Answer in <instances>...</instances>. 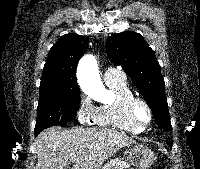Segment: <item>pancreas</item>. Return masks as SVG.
<instances>
[{
	"label": "pancreas",
	"instance_id": "obj_1",
	"mask_svg": "<svg viewBox=\"0 0 200 169\" xmlns=\"http://www.w3.org/2000/svg\"><path fill=\"white\" fill-rule=\"evenodd\" d=\"M129 164L121 159H112L108 161L101 169H128Z\"/></svg>",
	"mask_w": 200,
	"mask_h": 169
}]
</instances>
